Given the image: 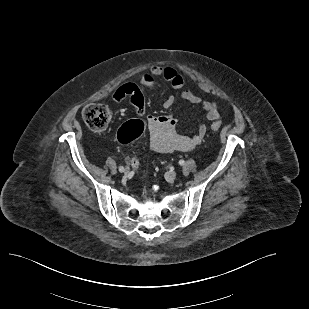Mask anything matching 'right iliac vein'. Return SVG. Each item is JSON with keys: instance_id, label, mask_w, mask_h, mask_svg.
<instances>
[{"instance_id": "1", "label": "right iliac vein", "mask_w": 309, "mask_h": 309, "mask_svg": "<svg viewBox=\"0 0 309 309\" xmlns=\"http://www.w3.org/2000/svg\"><path fill=\"white\" fill-rule=\"evenodd\" d=\"M129 171H130L129 168H125L123 172H124L125 175H127L129 173Z\"/></svg>"}]
</instances>
